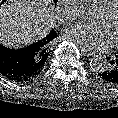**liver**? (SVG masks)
Segmentation results:
<instances>
[{
    "label": "liver",
    "mask_w": 118,
    "mask_h": 118,
    "mask_svg": "<svg viewBox=\"0 0 118 118\" xmlns=\"http://www.w3.org/2000/svg\"><path fill=\"white\" fill-rule=\"evenodd\" d=\"M52 0H8L0 7V44L30 45L54 27Z\"/></svg>",
    "instance_id": "liver-1"
}]
</instances>
